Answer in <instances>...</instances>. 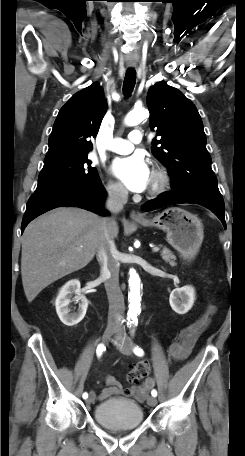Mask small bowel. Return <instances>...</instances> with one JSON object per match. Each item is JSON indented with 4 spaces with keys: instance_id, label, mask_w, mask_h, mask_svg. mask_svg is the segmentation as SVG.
<instances>
[{
    "instance_id": "small-bowel-1",
    "label": "small bowel",
    "mask_w": 245,
    "mask_h": 456,
    "mask_svg": "<svg viewBox=\"0 0 245 456\" xmlns=\"http://www.w3.org/2000/svg\"><path fill=\"white\" fill-rule=\"evenodd\" d=\"M214 312V306H207L203 314L196 321L181 329L177 340L171 343L168 347V353L172 359L183 360L190 355L198 337L207 327L210 316ZM105 383L107 387L100 393V400L114 395L129 396L138 401H142L149 393V390L155 385V380L153 378H148L142 385H134L131 388H124L113 376H106Z\"/></svg>"
}]
</instances>
